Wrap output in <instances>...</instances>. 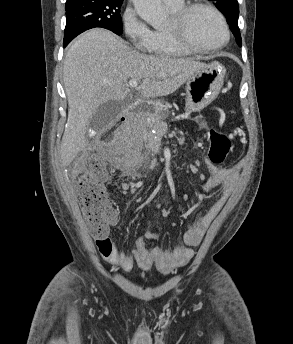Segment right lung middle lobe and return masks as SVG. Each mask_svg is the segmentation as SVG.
I'll return each mask as SVG.
<instances>
[{
  "instance_id": "dd1d6c3e",
  "label": "right lung middle lobe",
  "mask_w": 293,
  "mask_h": 344,
  "mask_svg": "<svg viewBox=\"0 0 293 344\" xmlns=\"http://www.w3.org/2000/svg\"><path fill=\"white\" fill-rule=\"evenodd\" d=\"M123 0H79L66 3L64 47L80 33L95 27L122 34L120 8Z\"/></svg>"
}]
</instances>
